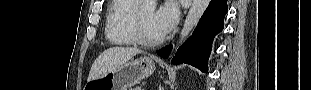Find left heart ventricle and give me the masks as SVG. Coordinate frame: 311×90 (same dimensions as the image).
<instances>
[{
    "label": "left heart ventricle",
    "mask_w": 311,
    "mask_h": 90,
    "mask_svg": "<svg viewBox=\"0 0 311 90\" xmlns=\"http://www.w3.org/2000/svg\"><path fill=\"white\" fill-rule=\"evenodd\" d=\"M141 22L145 35L150 39H156L163 34L156 28L153 22L154 10L148 9L140 12Z\"/></svg>",
    "instance_id": "1"
}]
</instances>
